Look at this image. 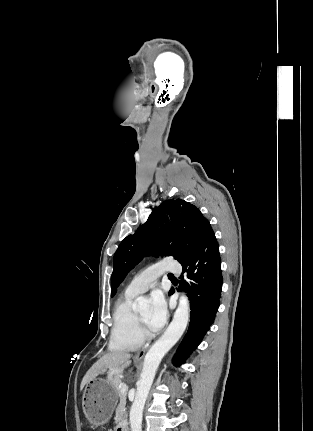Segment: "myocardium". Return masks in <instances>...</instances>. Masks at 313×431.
Listing matches in <instances>:
<instances>
[{"mask_svg":"<svg viewBox=\"0 0 313 431\" xmlns=\"http://www.w3.org/2000/svg\"><path fill=\"white\" fill-rule=\"evenodd\" d=\"M136 320H137V327H138V333L140 337L144 339H148L151 337V333L147 329V326L145 325L144 321L140 317L138 313H136Z\"/></svg>","mask_w":313,"mask_h":431,"instance_id":"f54148a6","label":"myocardium"}]
</instances>
